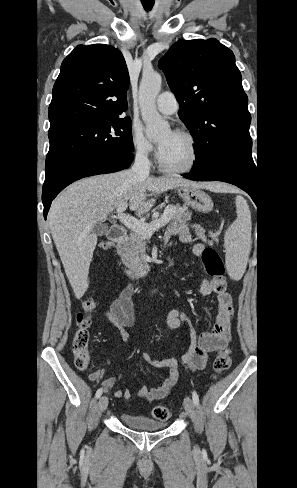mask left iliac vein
<instances>
[{
  "label": "left iliac vein",
  "instance_id": "left-iliac-vein-1",
  "mask_svg": "<svg viewBox=\"0 0 297 488\" xmlns=\"http://www.w3.org/2000/svg\"><path fill=\"white\" fill-rule=\"evenodd\" d=\"M184 408L191 418H195V405L190 397L184 399Z\"/></svg>",
  "mask_w": 297,
  "mask_h": 488
}]
</instances>
